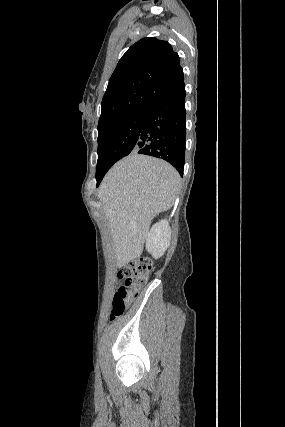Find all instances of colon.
I'll use <instances>...</instances> for the list:
<instances>
[{"label": "colon", "mask_w": 285, "mask_h": 427, "mask_svg": "<svg viewBox=\"0 0 285 427\" xmlns=\"http://www.w3.org/2000/svg\"><path fill=\"white\" fill-rule=\"evenodd\" d=\"M152 269V262L147 258L133 259L118 272L120 285L111 298L110 320L122 315L126 308L138 296L146 283Z\"/></svg>", "instance_id": "5ec220e1"}]
</instances>
